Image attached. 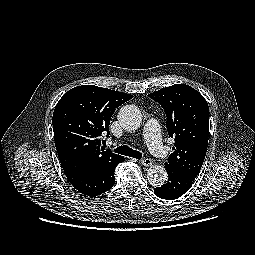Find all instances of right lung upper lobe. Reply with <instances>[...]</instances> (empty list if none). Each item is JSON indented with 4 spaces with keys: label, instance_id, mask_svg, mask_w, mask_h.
<instances>
[{
    "label": "right lung upper lobe",
    "instance_id": "obj_1",
    "mask_svg": "<svg viewBox=\"0 0 255 255\" xmlns=\"http://www.w3.org/2000/svg\"><path fill=\"white\" fill-rule=\"evenodd\" d=\"M127 93L82 85L65 93L53 118L56 150L64 171L104 170L124 157L104 151L100 137L109 133L116 108L132 99Z\"/></svg>",
    "mask_w": 255,
    "mask_h": 255
}]
</instances>
